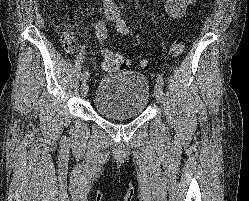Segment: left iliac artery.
<instances>
[{"label": "left iliac artery", "mask_w": 249, "mask_h": 201, "mask_svg": "<svg viewBox=\"0 0 249 201\" xmlns=\"http://www.w3.org/2000/svg\"><path fill=\"white\" fill-rule=\"evenodd\" d=\"M117 31H119L120 33H124V34L129 33V28L126 25L124 20H119L117 22ZM157 83H160L162 86L164 85V78H163L162 74H158Z\"/></svg>", "instance_id": "1"}]
</instances>
